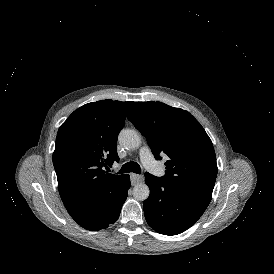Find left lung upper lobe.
Instances as JSON below:
<instances>
[{"label":"left lung upper lobe","mask_w":274,"mask_h":274,"mask_svg":"<svg viewBox=\"0 0 274 274\" xmlns=\"http://www.w3.org/2000/svg\"><path fill=\"white\" fill-rule=\"evenodd\" d=\"M127 118L144 135L156 159L165 153L161 180L211 197L217 176L212 142L187 111L161 102H135Z\"/></svg>","instance_id":"1"}]
</instances>
